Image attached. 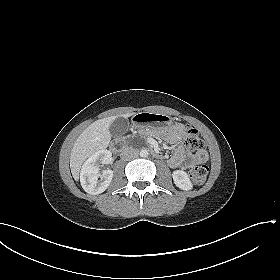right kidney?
Returning <instances> with one entry per match:
<instances>
[{"instance_id": "1", "label": "right kidney", "mask_w": 280, "mask_h": 280, "mask_svg": "<svg viewBox=\"0 0 280 280\" xmlns=\"http://www.w3.org/2000/svg\"><path fill=\"white\" fill-rule=\"evenodd\" d=\"M112 153L108 150H98L83 164L80 173L82 188L91 195L103 193L110 185L113 178L112 170H104L100 174L99 164H106L111 159ZM100 177V180L98 178Z\"/></svg>"}]
</instances>
